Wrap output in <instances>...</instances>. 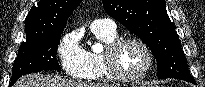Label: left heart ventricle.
<instances>
[{
	"label": "left heart ventricle",
	"mask_w": 205,
	"mask_h": 87,
	"mask_svg": "<svg viewBox=\"0 0 205 87\" xmlns=\"http://www.w3.org/2000/svg\"><path fill=\"white\" fill-rule=\"evenodd\" d=\"M118 66L126 75L139 74L147 63L144 50L135 43L125 44L118 53Z\"/></svg>",
	"instance_id": "1"
}]
</instances>
